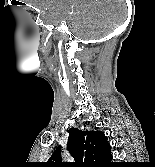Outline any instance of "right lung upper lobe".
Wrapping results in <instances>:
<instances>
[{"instance_id": "1", "label": "right lung upper lobe", "mask_w": 155, "mask_h": 167, "mask_svg": "<svg viewBox=\"0 0 155 167\" xmlns=\"http://www.w3.org/2000/svg\"><path fill=\"white\" fill-rule=\"evenodd\" d=\"M67 149L75 162L61 161L60 147L52 154L44 167H110L112 155L110 144L103 132L91 130L84 125L82 128L68 130Z\"/></svg>"}]
</instances>
